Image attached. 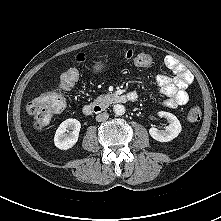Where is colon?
<instances>
[{"instance_id": "colon-1", "label": "colon", "mask_w": 221, "mask_h": 221, "mask_svg": "<svg viewBox=\"0 0 221 221\" xmlns=\"http://www.w3.org/2000/svg\"><path fill=\"white\" fill-rule=\"evenodd\" d=\"M112 54L129 60L140 67H148L154 63L152 53L145 51L122 49L112 51ZM84 59V56L80 54L77 56L76 61L77 63H81ZM79 76L80 74L77 68L67 69L61 74L55 88L45 91L29 102L28 111L36 128L45 127L55 115L63 110L65 106L64 92L76 84ZM201 115V109L194 106L188 110L187 118L189 121L197 122L200 120Z\"/></svg>"}]
</instances>
